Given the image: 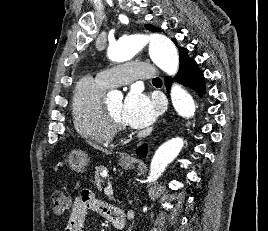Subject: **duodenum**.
Segmentation results:
<instances>
[{"label":"duodenum","mask_w":268,"mask_h":231,"mask_svg":"<svg viewBox=\"0 0 268 231\" xmlns=\"http://www.w3.org/2000/svg\"><path fill=\"white\" fill-rule=\"evenodd\" d=\"M110 221L116 228H123L125 226V216L121 209H112Z\"/></svg>","instance_id":"410a0bca"}]
</instances>
